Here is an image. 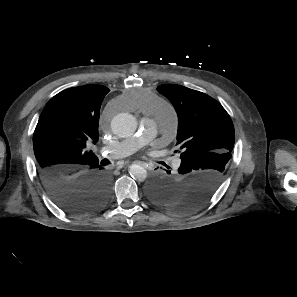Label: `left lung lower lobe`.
I'll return each instance as SVG.
<instances>
[{
  "instance_id": "left-lung-lower-lobe-1",
  "label": "left lung lower lobe",
  "mask_w": 297,
  "mask_h": 297,
  "mask_svg": "<svg viewBox=\"0 0 297 297\" xmlns=\"http://www.w3.org/2000/svg\"><path fill=\"white\" fill-rule=\"evenodd\" d=\"M183 172H184V170H182V168L179 167L178 174L182 175ZM167 173L170 174V171H167ZM201 179H203L202 181H207V182H204L205 184L204 183L202 184L203 186H201V187H203V188H201V189H203V190H201V191H204V190L206 191V189H207V191H208V189L210 191V189L212 187V182H210V180H204V179H206L204 177ZM173 187H174V184L172 182V177L170 175H165V176L157 177L156 179H154L149 186L148 192L150 194V193H158V192H162V191H171L173 189ZM201 193L204 194L206 192H201ZM196 195H202V194H195L194 197H197ZM193 201H196V200H193ZM189 211H192V209L188 210V208H187V210H181V211H177V212H189Z\"/></svg>"
}]
</instances>
